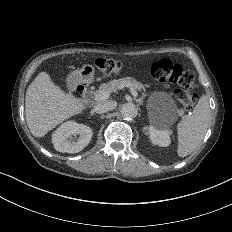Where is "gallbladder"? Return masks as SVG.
Wrapping results in <instances>:
<instances>
[{
    "label": "gallbladder",
    "mask_w": 232,
    "mask_h": 232,
    "mask_svg": "<svg viewBox=\"0 0 232 232\" xmlns=\"http://www.w3.org/2000/svg\"><path fill=\"white\" fill-rule=\"evenodd\" d=\"M75 86H76V84H75L74 81H69V82H68L67 87H68L71 91L75 90Z\"/></svg>",
    "instance_id": "bac80fb5"
}]
</instances>
